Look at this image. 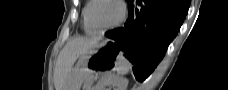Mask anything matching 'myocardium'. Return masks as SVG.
Instances as JSON below:
<instances>
[{"mask_svg":"<svg viewBox=\"0 0 228 90\" xmlns=\"http://www.w3.org/2000/svg\"><path fill=\"white\" fill-rule=\"evenodd\" d=\"M98 1H101V0H92L91 6H90L89 11H88V22H89L90 27L93 29V31L95 33H104V32H107L109 30L115 29L124 22V20L126 19L127 10H126V6L123 3V1H121V0H109V1L116 3L119 6L120 15H119L118 19L113 24H111L105 28H97L93 22V19H92V12H93L95 4Z\"/></svg>","mask_w":228,"mask_h":90,"instance_id":"myocardium-1","label":"myocardium"}]
</instances>
